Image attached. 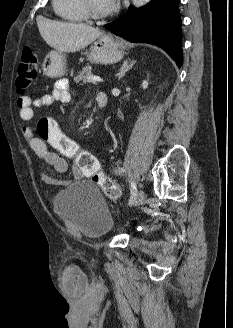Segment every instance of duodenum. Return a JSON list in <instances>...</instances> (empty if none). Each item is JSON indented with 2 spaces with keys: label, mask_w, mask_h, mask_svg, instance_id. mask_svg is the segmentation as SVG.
Masks as SVG:
<instances>
[{
  "label": "duodenum",
  "mask_w": 233,
  "mask_h": 328,
  "mask_svg": "<svg viewBox=\"0 0 233 328\" xmlns=\"http://www.w3.org/2000/svg\"><path fill=\"white\" fill-rule=\"evenodd\" d=\"M108 98L105 93H99L97 96V103L99 107H105L107 105Z\"/></svg>",
  "instance_id": "1"
}]
</instances>
